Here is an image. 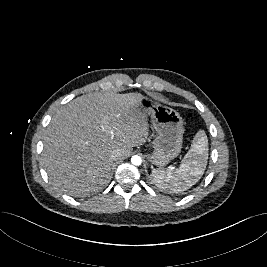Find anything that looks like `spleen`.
<instances>
[{
  "label": "spleen",
  "instance_id": "3e777b00",
  "mask_svg": "<svg viewBox=\"0 0 267 267\" xmlns=\"http://www.w3.org/2000/svg\"><path fill=\"white\" fill-rule=\"evenodd\" d=\"M208 159V139L203 130L193 138L188 153L179 168L165 171L153 170L156 185L168 192L179 193L191 188L203 175Z\"/></svg>",
  "mask_w": 267,
  "mask_h": 267
}]
</instances>
